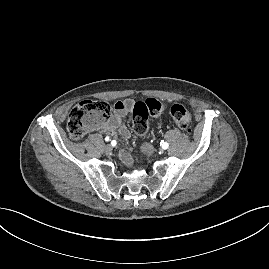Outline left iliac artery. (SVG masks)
I'll return each instance as SVG.
<instances>
[{
  "label": "left iliac artery",
  "mask_w": 269,
  "mask_h": 269,
  "mask_svg": "<svg viewBox=\"0 0 269 269\" xmlns=\"http://www.w3.org/2000/svg\"><path fill=\"white\" fill-rule=\"evenodd\" d=\"M160 145L163 149H167L169 147V144L163 140L160 142Z\"/></svg>",
  "instance_id": "left-iliac-artery-1"
}]
</instances>
